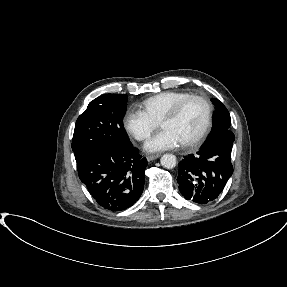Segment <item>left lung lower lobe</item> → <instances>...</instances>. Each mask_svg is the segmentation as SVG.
Returning a JSON list of instances; mask_svg holds the SVG:
<instances>
[{
    "label": "left lung lower lobe",
    "mask_w": 287,
    "mask_h": 287,
    "mask_svg": "<svg viewBox=\"0 0 287 287\" xmlns=\"http://www.w3.org/2000/svg\"><path fill=\"white\" fill-rule=\"evenodd\" d=\"M234 139L228 130L180 161L177 182L187 200L206 204L219 196L233 173L230 157Z\"/></svg>",
    "instance_id": "0a47b994"
}]
</instances>
